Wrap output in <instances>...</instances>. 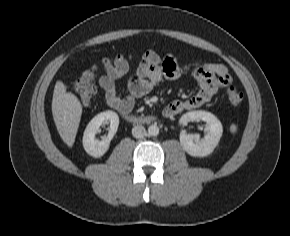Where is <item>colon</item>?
<instances>
[{"label":"colon","instance_id":"1","mask_svg":"<svg viewBox=\"0 0 290 236\" xmlns=\"http://www.w3.org/2000/svg\"><path fill=\"white\" fill-rule=\"evenodd\" d=\"M121 60H125V57L117 56L112 59H105L104 65L113 64ZM96 73L97 67H92L91 69L84 71L81 77L76 82L75 85L76 92L84 105H88L89 103H91L96 93V87L94 84ZM228 99L232 104L236 105L242 102L243 94L242 92L234 88H230L228 90Z\"/></svg>","mask_w":290,"mask_h":236}]
</instances>
